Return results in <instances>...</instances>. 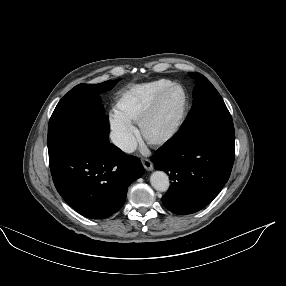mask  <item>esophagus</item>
<instances>
[{"mask_svg":"<svg viewBox=\"0 0 286 286\" xmlns=\"http://www.w3.org/2000/svg\"><path fill=\"white\" fill-rule=\"evenodd\" d=\"M141 162H142L144 168H145L147 171L153 170V167H154V166H153V163H152L151 160H149V159H147V158H143V159H141Z\"/></svg>","mask_w":286,"mask_h":286,"instance_id":"esophagus-1","label":"esophagus"}]
</instances>
